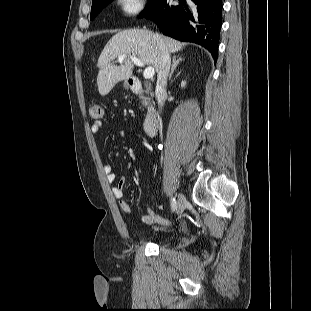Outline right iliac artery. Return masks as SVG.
Listing matches in <instances>:
<instances>
[{"label": "right iliac artery", "instance_id": "1", "mask_svg": "<svg viewBox=\"0 0 311 311\" xmlns=\"http://www.w3.org/2000/svg\"><path fill=\"white\" fill-rule=\"evenodd\" d=\"M161 148V146H159ZM171 208L173 211H175V209L177 208V203H176V200L175 198H171Z\"/></svg>", "mask_w": 311, "mask_h": 311}]
</instances>
